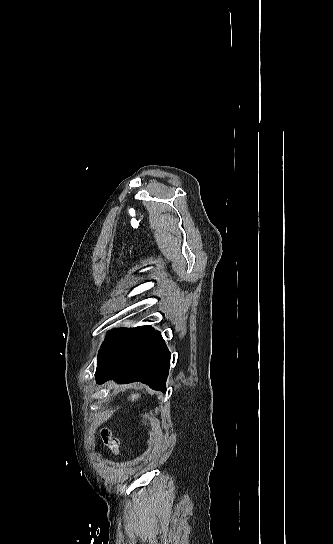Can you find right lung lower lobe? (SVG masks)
I'll list each match as a JSON object with an SVG mask.
<instances>
[{"mask_svg": "<svg viewBox=\"0 0 333 544\" xmlns=\"http://www.w3.org/2000/svg\"><path fill=\"white\" fill-rule=\"evenodd\" d=\"M170 367V352L160 332L150 328L137 340L126 346L97 367L96 380L117 383L141 382L154 390L166 391Z\"/></svg>", "mask_w": 333, "mask_h": 544, "instance_id": "obj_1", "label": "right lung lower lobe"}]
</instances>
